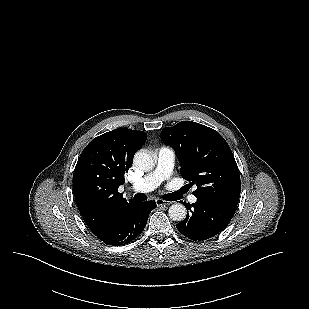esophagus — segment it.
<instances>
[{"mask_svg": "<svg viewBox=\"0 0 309 309\" xmlns=\"http://www.w3.org/2000/svg\"><path fill=\"white\" fill-rule=\"evenodd\" d=\"M172 202H170V201H165V200H162V199H157L156 200V205L158 206V207H160V206H165V205H170Z\"/></svg>", "mask_w": 309, "mask_h": 309, "instance_id": "esophagus-1", "label": "esophagus"}]
</instances>
